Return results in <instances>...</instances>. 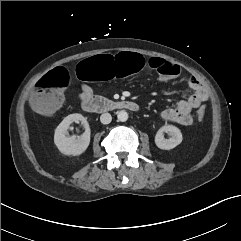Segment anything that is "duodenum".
Segmentation results:
<instances>
[{
    "mask_svg": "<svg viewBox=\"0 0 241 241\" xmlns=\"http://www.w3.org/2000/svg\"><path fill=\"white\" fill-rule=\"evenodd\" d=\"M82 109L87 113H104L116 110L137 111L138 105L126 100H106L100 97H90L82 101Z\"/></svg>",
    "mask_w": 241,
    "mask_h": 241,
    "instance_id": "obj_1",
    "label": "duodenum"
}]
</instances>
